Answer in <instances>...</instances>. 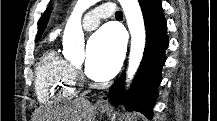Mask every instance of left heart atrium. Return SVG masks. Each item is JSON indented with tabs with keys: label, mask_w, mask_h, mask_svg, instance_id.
<instances>
[{
	"label": "left heart atrium",
	"mask_w": 217,
	"mask_h": 121,
	"mask_svg": "<svg viewBox=\"0 0 217 121\" xmlns=\"http://www.w3.org/2000/svg\"><path fill=\"white\" fill-rule=\"evenodd\" d=\"M124 55L122 33L108 25L89 40L86 56V73L92 79H110L118 71Z\"/></svg>",
	"instance_id": "obj_1"
}]
</instances>
